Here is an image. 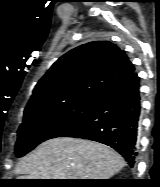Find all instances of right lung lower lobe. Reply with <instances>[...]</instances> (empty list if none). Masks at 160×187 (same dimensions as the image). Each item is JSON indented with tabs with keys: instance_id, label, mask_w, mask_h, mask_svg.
<instances>
[{
	"instance_id": "right-lung-lower-lobe-1",
	"label": "right lung lower lobe",
	"mask_w": 160,
	"mask_h": 187,
	"mask_svg": "<svg viewBox=\"0 0 160 187\" xmlns=\"http://www.w3.org/2000/svg\"><path fill=\"white\" fill-rule=\"evenodd\" d=\"M140 78L134 71L106 92L93 112L60 137L97 141L118 151L133 167L138 154Z\"/></svg>"
}]
</instances>
